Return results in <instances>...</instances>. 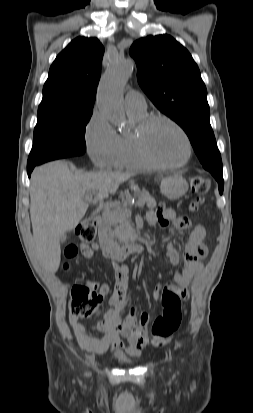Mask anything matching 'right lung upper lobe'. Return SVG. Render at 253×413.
Here are the masks:
<instances>
[{
  "instance_id": "1",
  "label": "right lung upper lobe",
  "mask_w": 253,
  "mask_h": 413,
  "mask_svg": "<svg viewBox=\"0 0 253 413\" xmlns=\"http://www.w3.org/2000/svg\"><path fill=\"white\" fill-rule=\"evenodd\" d=\"M103 53L97 38L77 37L69 43L50 67L38 114L93 111Z\"/></svg>"
}]
</instances>
